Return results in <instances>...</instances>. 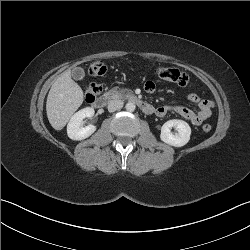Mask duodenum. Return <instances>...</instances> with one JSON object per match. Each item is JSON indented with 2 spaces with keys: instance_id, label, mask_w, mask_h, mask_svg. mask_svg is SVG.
Instances as JSON below:
<instances>
[{
  "instance_id": "duodenum-1",
  "label": "duodenum",
  "mask_w": 250,
  "mask_h": 250,
  "mask_svg": "<svg viewBox=\"0 0 250 250\" xmlns=\"http://www.w3.org/2000/svg\"><path fill=\"white\" fill-rule=\"evenodd\" d=\"M115 97L116 96L113 93H105L95 99V101L93 102V106L95 108H103L108 105L112 100H114ZM125 98L130 102L136 104L146 114H153L155 112V109L152 105H150L137 95L126 94Z\"/></svg>"
}]
</instances>
